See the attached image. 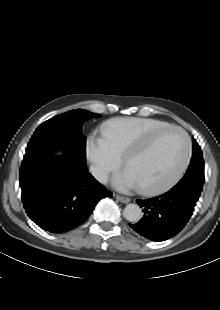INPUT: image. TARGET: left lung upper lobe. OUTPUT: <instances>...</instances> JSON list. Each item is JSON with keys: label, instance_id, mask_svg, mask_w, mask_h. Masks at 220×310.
<instances>
[{"label": "left lung upper lobe", "instance_id": "5c2ea615", "mask_svg": "<svg viewBox=\"0 0 220 310\" xmlns=\"http://www.w3.org/2000/svg\"><path fill=\"white\" fill-rule=\"evenodd\" d=\"M204 183V159L203 153L201 151L200 146L193 140V153L192 159L190 161V165L182 177V179L178 182L181 186L194 185L200 190L203 189Z\"/></svg>", "mask_w": 220, "mask_h": 310}]
</instances>
